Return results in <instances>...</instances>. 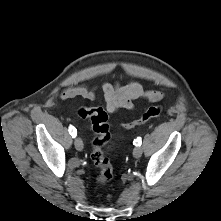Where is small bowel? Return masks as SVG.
<instances>
[{
    "instance_id": "1",
    "label": "small bowel",
    "mask_w": 221,
    "mask_h": 221,
    "mask_svg": "<svg viewBox=\"0 0 221 221\" xmlns=\"http://www.w3.org/2000/svg\"><path fill=\"white\" fill-rule=\"evenodd\" d=\"M102 91L105 100V106L109 113H115L121 108L132 109L134 101L137 99H146L151 102L159 101L163 93L159 90H144L136 81H129L126 84L119 82L104 83ZM95 88L88 85H75L65 88L61 92V99L68 100L75 97H83L92 100L95 98Z\"/></svg>"
}]
</instances>
